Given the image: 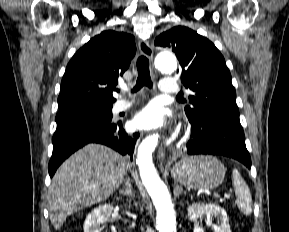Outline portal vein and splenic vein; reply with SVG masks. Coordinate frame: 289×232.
Wrapping results in <instances>:
<instances>
[{"label":"portal vein and splenic vein","mask_w":289,"mask_h":232,"mask_svg":"<svg viewBox=\"0 0 289 232\" xmlns=\"http://www.w3.org/2000/svg\"><path fill=\"white\" fill-rule=\"evenodd\" d=\"M224 198H226V199L232 198V193H225Z\"/></svg>","instance_id":"portal-vein-and-splenic-vein-1"}]
</instances>
